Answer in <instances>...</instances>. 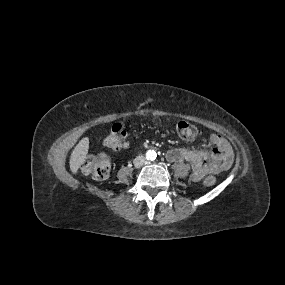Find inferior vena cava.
<instances>
[{"label": "inferior vena cava", "mask_w": 285, "mask_h": 285, "mask_svg": "<svg viewBox=\"0 0 285 285\" xmlns=\"http://www.w3.org/2000/svg\"><path fill=\"white\" fill-rule=\"evenodd\" d=\"M146 162H147L146 158L142 155H139L134 159V165L136 167H140V166L144 165Z\"/></svg>", "instance_id": "inferior-vena-cava-1"}]
</instances>
